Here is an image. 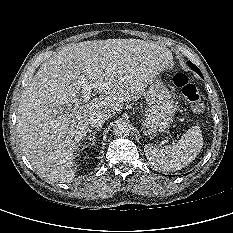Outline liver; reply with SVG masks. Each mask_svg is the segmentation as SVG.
<instances>
[{
	"instance_id": "6515ba94",
	"label": "liver",
	"mask_w": 233,
	"mask_h": 233,
	"mask_svg": "<svg viewBox=\"0 0 233 233\" xmlns=\"http://www.w3.org/2000/svg\"><path fill=\"white\" fill-rule=\"evenodd\" d=\"M170 59V52L153 42L107 39L67 45L43 63L17 112L22 150L39 175L71 182L74 152L91 132L90 116H115L124 102L143 94ZM81 79L94 84L99 97L84 102Z\"/></svg>"
}]
</instances>
